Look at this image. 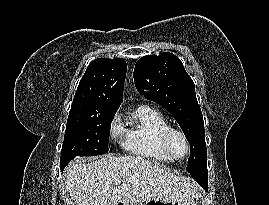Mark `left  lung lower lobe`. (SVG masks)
Returning <instances> with one entry per match:
<instances>
[{"label":"left lung lower lobe","instance_id":"0a47b994","mask_svg":"<svg viewBox=\"0 0 269 205\" xmlns=\"http://www.w3.org/2000/svg\"><path fill=\"white\" fill-rule=\"evenodd\" d=\"M191 176L205 189H208L207 165L201 166L190 172Z\"/></svg>","mask_w":269,"mask_h":205}]
</instances>
